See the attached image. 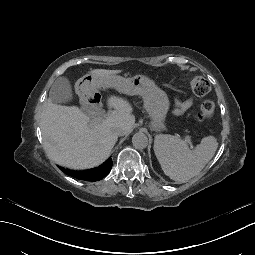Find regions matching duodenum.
Wrapping results in <instances>:
<instances>
[{"label": "duodenum", "mask_w": 255, "mask_h": 255, "mask_svg": "<svg viewBox=\"0 0 255 255\" xmlns=\"http://www.w3.org/2000/svg\"><path fill=\"white\" fill-rule=\"evenodd\" d=\"M78 93L84 107L89 111L101 114L103 111L101 95L88 82H83L78 87Z\"/></svg>", "instance_id": "duodenum-1"}]
</instances>
